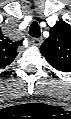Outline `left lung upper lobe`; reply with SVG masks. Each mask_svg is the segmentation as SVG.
I'll list each match as a JSON object with an SVG mask.
<instances>
[{
    "label": "left lung upper lobe",
    "mask_w": 71,
    "mask_h": 119,
    "mask_svg": "<svg viewBox=\"0 0 71 119\" xmlns=\"http://www.w3.org/2000/svg\"><path fill=\"white\" fill-rule=\"evenodd\" d=\"M40 52L56 70L71 72V25L59 20L51 27Z\"/></svg>",
    "instance_id": "left-lung-upper-lobe-1"
}]
</instances>
